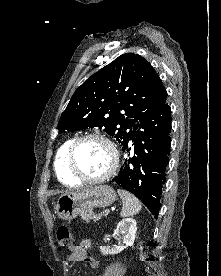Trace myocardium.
<instances>
[{
    "mask_svg": "<svg viewBox=\"0 0 221 276\" xmlns=\"http://www.w3.org/2000/svg\"><path fill=\"white\" fill-rule=\"evenodd\" d=\"M90 139H96V140H100V141L104 142L110 149V152L112 155V161H111L110 167L108 168V170L105 173H103L102 175H100L98 177H88V176L83 175L78 170V168L76 167V164H75V152L77 150V147L82 142H84L86 140H90ZM66 163H67V168H68L70 174L77 180H79L81 182H86V183H100V182L107 180L115 173V171L118 167V164H119V154H118V150H117L115 144L108 137H106L103 134H99V133H89V134H85V135H82V136H79V137L73 139V141L71 142V144L69 145V148L67 150Z\"/></svg>",
    "mask_w": 221,
    "mask_h": 276,
    "instance_id": "1",
    "label": "myocardium"
}]
</instances>
